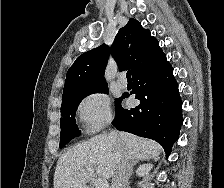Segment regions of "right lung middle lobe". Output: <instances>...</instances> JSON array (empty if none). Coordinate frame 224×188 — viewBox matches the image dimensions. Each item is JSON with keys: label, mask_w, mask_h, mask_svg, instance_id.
Returning <instances> with one entry per match:
<instances>
[{"label": "right lung middle lobe", "mask_w": 224, "mask_h": 188, "mask_svg": "<svg viewBox=\"0 0 224 188\" xmlns=\"http://www.w3.org/2000/svg\"><path fill=\"white\" fill-rule=\"evenodd\" d=\"M93 93H108V87L101 86L84 91L71 92L62 95L61 105V134L60 148H63L70 140L80 135V130L76 125L75 113L79 103L88 95ZM119 99L115 101V104Z\"/></svg>", "instance_id": "obj_1"}]
</instances>
